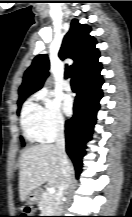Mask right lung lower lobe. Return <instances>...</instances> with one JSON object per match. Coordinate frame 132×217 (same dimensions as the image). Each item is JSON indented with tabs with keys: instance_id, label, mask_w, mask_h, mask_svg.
Masks as SVG:
<instances>
[{
	"instance_id": "obj_1",
	"label": "right lung lower lobe",
	"mask_w": 132,
	"mask_h": 217,
	"mask_svg": "<svg viewBox=\"0 0 132 217\" xmlns=\"http://www.w3.org/2000/svg\"><path fill=\"white\" fill-rule=\"evenodd\" d=\"M102 77L78 83L74 102V115L65 123L66 152L75 166L76 176L81 173L82 157L85 155L86 142L91 139L92 128L99 110L102 97Z\"/></svg>"
}]
</instances>
